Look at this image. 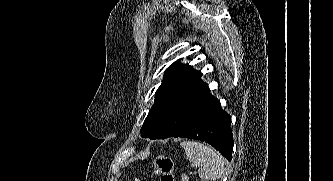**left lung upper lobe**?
I'll return each mask as SVG.
<instances>
[{"label": "left lung upper lobe", "instance_id": "left-lung-upper-lobe-1", "mask_svg": "<svg viewBox=\"0 0 333 181\" xmlns=\"http://www.w3.org/2000/svg\"><path fill=\"white\" fill-rule=\"evenodd\" d=\"M174 62L167 69L162 84L156 91L155 101L141 129V137L162 139L177 134L192 117L212 99L208 85L189 65Z\"/></svg>", "mask_w": 333, "mask_h": 181}]
</instances>
